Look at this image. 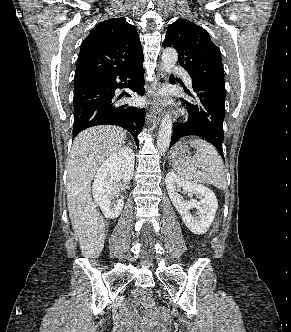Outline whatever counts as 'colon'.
Listing matches in <instances>:
<instances>
[{"label": "colon", "instance_id": "1", "mask_svg": "<svg viewBox=\"0 0 291 332\" xmlns=\"http://www.w3.org/2000/svg\"><path fill=\"white\" fill-rule=\"evenodd\" d=\"M144 305H145V307H146L147 309H152L153 306H154L152 300H150V299H145V300H144ZM163 312L166 313V311H164V310H163Z\"/></svg>", "mask_w": 291, "mask_h": 332}]
</instances>
